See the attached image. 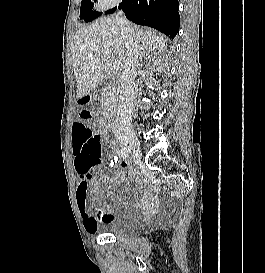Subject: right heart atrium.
<instances>
[{"mask_svg":"<svg viewBox=\"0 0 265 273\" xmlns=\"http://www.w3.org/2000/svg\"><path fill=\"white\" fill-rule=\"evenodd\" d=\"M121 0H96L95 7L99 10L108 9L114 5H117Z\"/></svg>","mask_w":265,"mask_h":273,"instance_id":"right-heart-atrium-1","label":"right heart atrium"}]
</instances>
